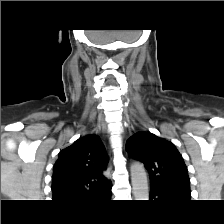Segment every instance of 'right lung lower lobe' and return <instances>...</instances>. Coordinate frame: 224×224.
I'll return each mask as SVG.
<instances>
[{
	"label": "right lung lower lobe",
	"instance_id": "right-lung-lower-lobe-1",
	"mask_svg": "<svg viewBox=\"0 0 224 224\" xmlns=\"http://www.w3.org/2000/svg\"><path fill=\"white\" fill-rule=\"evenodd\" d=\"M110 197H111V196H110V194H109V195H107L105 198L110 199Z\"/></svg>",
	"mask_w": 224,
	"mask_h": 224
}]
</instances>
